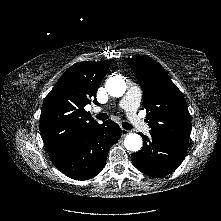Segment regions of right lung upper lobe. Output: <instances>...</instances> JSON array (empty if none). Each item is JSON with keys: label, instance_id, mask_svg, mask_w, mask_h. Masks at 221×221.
I'll use <instances>...</instances> for the list:
<instances>
[{"label": "right lung upper lobe", "instance_id": "right-lung-upper-lobe-1", "mask_svg": "<svg viewBox=\"0 0 221 221\" xmlns=\"http://www.w3.org/2000/svg\"><path fill=\"white\" fill-rule=\"evenodd\" d=\"M110 64L86 61L72 65L45 97L40 129L50 156L62 152L98 124L84 107L92 101L98 104L96 92Z\"/></svg>", "mask_w": 221, "mask_h": 221}]
</instances>
